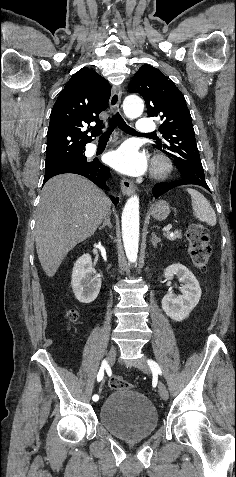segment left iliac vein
Masks as SVG:
<instances>
[{"label": "left iliac vein", "instance_id": "1", "mask_svg": "<svg viewBox=\"0 0 236 477\" xmlns=\"http://www.w3.org/2000/svg\"><path fill=\"white\" fill-rule=\"evenodd\" d=\"M138 367L140 368V370L146 374L150 373V368L149 366L144 363V362H138ZM158 391H159V395L160 397L163 399V400H167L168 397H169V394H168V390L166 388V386L164 385V383L162 382H159V386H158Z\"/></svg>", "mask_w": 236, "mask_h": 477}]
</instances>
